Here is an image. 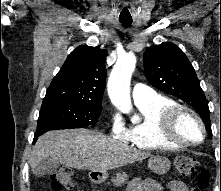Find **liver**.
I'll return each mask as SVG.
<instances>
[{
    "label": "liver",
    "mask_w": 221,
    "mask_h": 191,
    "mask_svg": "<svg viewBox=\"0 0 221 191\" xmlns=\"http://www.w3.org/2000/svg\"><path fill=\"white\" fill-rule=\"evenodd\" d=\"M149 152L88 129L54 130L40 136L30 158L32 170L52 158L65 166L107 171L150 157Z\"/></svg>",
    "instance_id": "obj_1"
}]
</instances>
